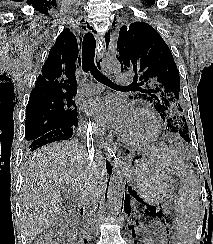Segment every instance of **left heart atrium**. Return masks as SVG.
Returning a JSON list of instances; mask_svg holds the SVG:
<instances>
[{
	"label": "left heart atrium",
	"instance_id": "39dd6f15",
	"mask_svg": "<svg viewBox=\"0 0 213 244\" xmlns=\"http://www.w3.org/2000/svg\"><path fill=\"white\" fill-rule=\"evenodd\" d=\"M85 110L98 129L109 128L119 133L124 131L133 116V112L124 102L111 96L89 100Z\"/></svg>",
	"mask_w": 213,
	"mask_h": 244
}]
</instances>
